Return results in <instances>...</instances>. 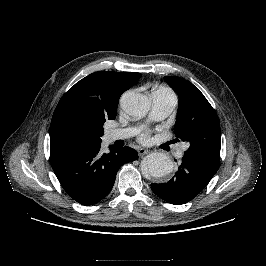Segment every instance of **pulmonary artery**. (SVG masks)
Wrapping results in <instances>:
<instances>
[{"label":"pulmonary artery","mask_w":266,"mask_h":266,"mask_svg":"<svg viewBox=\"0 0 266 266\" xmlns=\"http://www.w3.org/2000/svg\"><path fill=\"white\" fill-rule=\"evenodd\" d=\"M152 107L149 115V119L153 121H158L167 117L175 109L177 105L176 95L167 88L161 87L152 90ZM137 128L127 127V128H116L109 129L106 132V140L113 142L116 140H122L129 138L136 134ZM186 150V146L183 145L180 148L179 156Z\"/></svg>","instance_id":"1"}]
</instances>
